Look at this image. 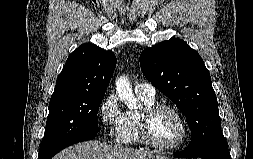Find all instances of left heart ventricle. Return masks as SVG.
Wrapping results in <instances>:
<instances>
[{"label": "left heart ventricle", "mask_w": 253, "mask_h": 159, "mask_svg": "<svg viewBox=\"0 0 253 159\" xmlns=\"http://www.w3.org/2000/svg\"><path fill=\"white\" fill-rule=\"evenodd\" d=\"M182 127L178 117L170 110L158 111L151 122L154 141L160 145L174 144L181 135Z\"/></svg>", "instance_id": "b2bd125f"}]
</instances>
